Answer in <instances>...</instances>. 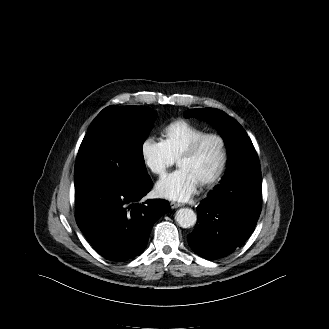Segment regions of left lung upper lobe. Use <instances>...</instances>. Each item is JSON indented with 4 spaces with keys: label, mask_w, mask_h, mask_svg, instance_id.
Segmentation results:
<instances>
[{
    "label": "left lung upper lobe",
    "mask_w": 329,
    "mask_h": 329,
    "mask_svg": "<svg viewBox=\"0 0 329 329\" xmlns=\"http://www.w3.org/2000/svg\"><path fill=\"white\" fill-rule=\"evenodd\" d=\"M186 118L197 117L213 124L229 148L228 167L221 183L214 188L208 197L219 199L224 193L222 186L229 183L236 174L245 172L258 161L255 148L243 127L223 111L214 108L188 110Z\"/></svg>",
    "instance_id": "left-lung-upper-lobe-1"
}]
</instances>
